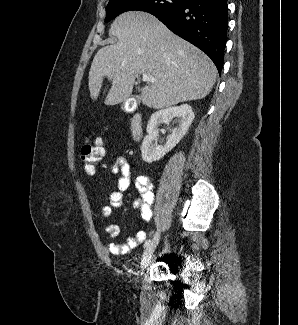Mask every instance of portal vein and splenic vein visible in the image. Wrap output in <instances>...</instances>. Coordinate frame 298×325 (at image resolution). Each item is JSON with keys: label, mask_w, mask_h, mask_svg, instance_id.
Here are the masks:
<instances>
[{"label": "portal vein and splenic vein", "mask_w": 298, "mask_h": 325, "mask_svg": "<svg viewBox=\"0 0 298 325\" xmlns=\"http://www.w3.org/2000/svg\"><path fill=\"white\" fill-rule=\"evenodd\" d=\"M141 80H143V82H157V78H154V76H148V74H142Z\"/></svg>", "instance_id": "18ae733b"}]
</instances>
